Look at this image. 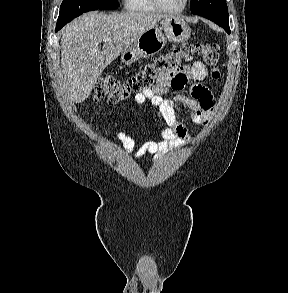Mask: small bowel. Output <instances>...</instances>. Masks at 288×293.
Returning <instances> with one entry per match:
<instances>
[{"mask_svg":"<svg viewBox=\"0 0 288 293\" xmlns=\"http://www.w3.org/2000/svg\"><path fill=\"white\" fill-rule=\"evenodd\" d=\"M207 78V70L201 62H191L157 78L155 86L135 95L134 101L141 105L150 102L155 107V117L161 125L159 141H148L135 150V141L123 132L117 133L127 153L138 160L145 154L159 155L169 145H185L190 141V134L185 124L178 118L176 106L183 105L193 123L207 125L215 108L211 91L202 83ZM193 80L191 95L177 94L166 98L170 91L180 92Z\"/></svg>","mask_w":288,"mask_h":293,"instance_id":"obj_1","label":"small bowel"}]
</instances>
